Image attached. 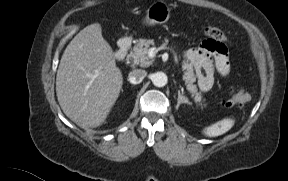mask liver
Here are the masks:
<instances>
[{
	"label": "liver",
	"mask_w": 288,
	"mask_h": 181,
	"mask_svg": "<svg viewBox=\"0 0 288 181\" xmlns=\"http://www.w3.org/2000/svg\"><path fill=\"white\" fill-rule=\"evenodd\" d=\"M122 84V72L101 25H88L69 43L58 67L56 93L63 112L82 129L101 126Z\"/></svg>",
	"instance_id": "obj_1"
}]
</instances>
